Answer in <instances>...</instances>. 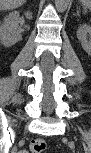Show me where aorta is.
I'll list each match as a JSON object with an SVG mask.
<instances>
[{
  "mask_svg": "<svg viewBox=\"0 0 91 153\" xmlns=\"http://www.w3.org/2000/svg\"><path fill=\"white\" fill-rule=\"evenodd\" d=\"M69 4V0H55L56 9L59 12H64Z\"/></svg>",
  "mask_w": 91,
  "mask_h": 153,
  "instance_id": "762f6f07",
  "label": "aorta"
}]
</instances>
